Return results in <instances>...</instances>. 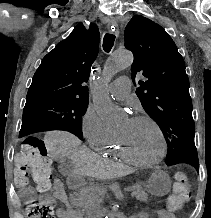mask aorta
<instances>
[{
  "mask_svg": "<svg viewBox=\"0 0 211 218\" xmlns=\"http://www.w3.org/2000/svg\"><path fill=\"white\" fill-rule=\"evenodd\" d=\"M133 62V55L127 50L115 51L105 63L103 69L104 80L109 81L119 71L128 68ZM93 104L101 118L104 127L109 131H117L122 128L125 116L111 102L106 90L100 86L96 89ZM116 211L108 213L107 218H115Z\"/></svg>",
  "mask_w": 211,
  "mask_h": 218,
  "instance_id": "obj_1",
  "label": "aorta"
}]
</instances>
